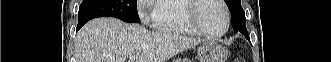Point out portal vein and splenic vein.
<instances>
[{"label": "portal vein and splenic vein", "mask_w": 331, "mask_h": 62, "mask_svg": "<svg viewBox=\"0 0 331 62\" xmlns=\"http://www.w3.org/2000/svg\"><path fill=\"white\" fill-rule=\"evenodd\" d=\"M129 59H130V60H133V59H135V56L130 55V56H129Z\"/></svg>", "instance_id": "18ae733b"}]
</instances>
